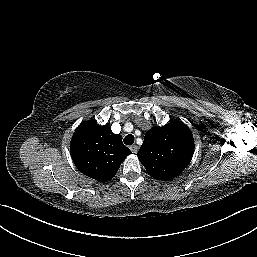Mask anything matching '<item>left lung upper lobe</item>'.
<instances>
[{"instance_id":"left-lung-upper-lobe-1","label":"left lung upper lobe","mask_w":257,"mask_h":257,"mask_svg":"<svg viewBox=\"0 0 257 257\" xmlns=\"http://www.w3.org/2000/svg\"><path fill=\"white\" fill-rule=\"evenodd\" d=\"M193 153L191 130L185 124L173 121L148 130L137 156L151 177L170 180L187 167Z\"/></svg>"}]
</instances>
